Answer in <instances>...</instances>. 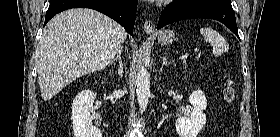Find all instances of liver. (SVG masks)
Returning <instances> with one entry per match:
<instances>
[{"label": "liver", "mask_w": 280, "mask_h": 137, "mask_svg": "<svg viewBox=\"0 0 280 137\" xmlns=\"http://www.w3.org/2000/svg\"><path fill=\"white\" fill-rule=\"evenodd\" d=\"M126 37L118 23L93 9H69L53 17L37 52L42 99L53 98L82 75L104 69Z\"/></svg>", "instance_id": "6515ba94"}]
</instances>
